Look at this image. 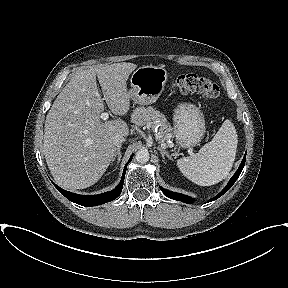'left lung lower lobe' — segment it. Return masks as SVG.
Wrapping results in <instances>:
<instances>
[{
    "mask_svg": "<svg viewBox=\"0 0 288 288\" xmlns=\"http://www.w3.org/2000/svg\"><path fill=\"white\" fill-rule=\"evenodd\" d=\"M245 160H246V154L238 168V170L236 171V173L233 175V177L230 179L229 183L227 184V186L215 197L211 198L209 200V202L214 201L216 199H218L219 197H221L224 193H226L231 187L232 185L235 183V181L238 179L244 165H245ZM162 192L169 198L177 200V201H182L184 203L187 204H191L193 203L194 199L191 197H188L186 195L180 194V193H176V192H172L169 190H166L164 188H161Z\"/></svg>",
    "mask_w": 288,
    "mask_h": 288,
    "instance_id": "obj_1",
    "label": "left lung lower lobe"
}]
</instances>
